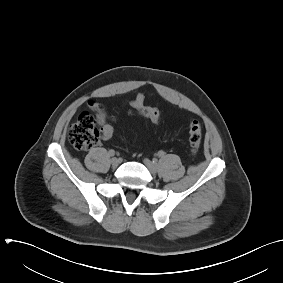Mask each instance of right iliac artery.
I'll return each instance as SVG.
<instances>
[{"mask_svg":"<svg viewBox=\"0 0 283 283\" xmlns=\"http://www.w3.org/2000/svg\"><path fill=\"white\" fill-rule=\"evenodd\" d=\"M109 155H110V156H114V155H115V151H114V150H112V149H111V150H109Z\"/></svg>","mask_w":283,"mask_h":283,"instance_id":"right-iliac-artery-1","label":"right iliac artery"}]
</instances>
